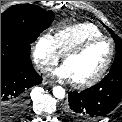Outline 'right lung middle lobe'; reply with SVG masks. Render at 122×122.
<instances>
[{
  "instance_id": "dd1d6c3e",
  "label": "right lung middle lobe",
  "mask_w": 122,
  "mask_h": 122,
  "mask_svg": "<svg viewBox=\"0 0 122 122\" xmlns=\"http://www.w3.org/2000/svg\"><path fill=\"white\" fill-rule=\"evenodd\" d=\"M54 15L35 5H14L1 14V34L15 35L30 44L49 27Z\"/></svg>"
}]
</instances>
